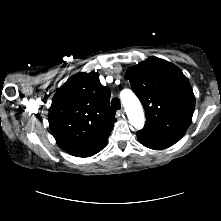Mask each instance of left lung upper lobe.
Instances as JSON below:
<instances>
[{
  "mask_svg": "<svg viewBox=\"0 0 221 221\" xmlns=\"http://www.w3.org/2000/svg\"><path fill=\"white\" fill-rule=\"evenodd\" d=\"M146 113L145 129L183 136L189 127L195 96L188 79L175 65L155 57L126 73Z\"/></svg>",
  "mask_w": 221,
  "mask_h": 221,
  "instance_id": "left-lung-upper-lobe-1",
  "label": "left lung upper lobe"
}]
</instances>
